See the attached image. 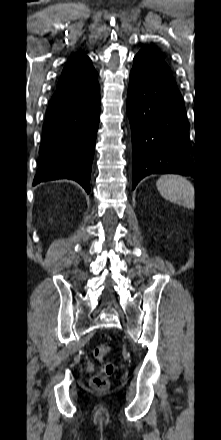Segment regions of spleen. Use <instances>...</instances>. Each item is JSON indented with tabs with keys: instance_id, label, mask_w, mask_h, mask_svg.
<instances>
[{
	"instance_id": "obj_1",
	"label": "spleen",
	"mask_w": 221,
	"mask_h": 440,
	"mask_svg": "<svg viewBox=\"0 0 221 440\" xmlns=\"http://www.w3.org/2000/svg\"><path fill=\"white\" fill-rule=\"evenodd\" d=\"M156 186L160 194L167 200L191 208L194 205V187L180 175H163Z\"/></svg>"
}]
</instances>
